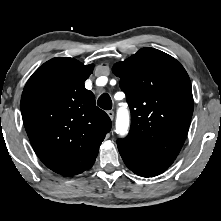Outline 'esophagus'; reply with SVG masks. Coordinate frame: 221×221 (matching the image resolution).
Returning <instances> with one entry per match:
<instances>
[{
    "instance_id": "34e87169",
    "label": "esophagus",
    "mask_w": 221,
    "mask_h": 221,
    "mask_svg": "<svg viewBox=\"0 0 221 221\" xmlns=\"http://www.w3.org/2000/svg\"><path fill=\"white\" fill-rule=\"evenodd\" d=\"M107 114H108V116L110 117L111 120L114 119V111L109 110V111H107Z\"/></svg>"
}]
</instances>
